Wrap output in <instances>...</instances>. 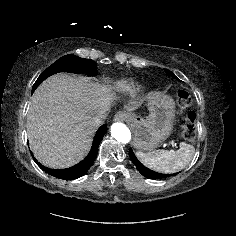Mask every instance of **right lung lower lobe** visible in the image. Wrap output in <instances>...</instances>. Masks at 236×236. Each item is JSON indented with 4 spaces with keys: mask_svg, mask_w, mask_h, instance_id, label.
I'll return each mask as SVG.
<instances>
[{
    "mask_svg": "<svg viewBox=\"0 0 236 236\" xmlns=\"http://www.w3.org/2000/svg\"><path fill=\"white\" fill-rule=\"evenodd\" d=\"M106 131V124L102 125L98 131L95 134L94 137V141L92 144V148L91 151L89 152V154L86 156V158L84 160H82L80 163L70 167V168H66V169H49L45 166H43L42 164H40L32 155L34 161L36 162V164L45 172H47L48 174L59 178V179H63V180H73V179H77L81 176H83L88 169L91 167V165L93 164L97 153H98V146L105 134Z\"/></svg>",
    "mask_w": 236,
    "mask_h": 236,
    "instance_id": "obj_1",
    "label": "right lung lower lobe"
}]
</instances>
